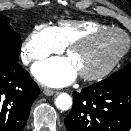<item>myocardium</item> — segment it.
<instances>
[{
  "label": "myocardium",
  "instance_id": "1",
  "mask_svg": "<svg viewBox=\"0 0 131 131\" xmlns=\"http://www.w3.org/2000/svg\"><path fill=\"white\" fill-rule=\"evenodd\" d=\"M105 34L122 35L126 40L125 46L116 56H114L107 64H105L100 69L93 72H81L80 76L84 80H87V81L99 80L105 77L106 75H108L118 65V63L123 59V57L128 52L131 45L130 37L128 36L126 32H124L123 30L119 28L108 27V28L99 29V30L90 32L76 39L75 41H73L72 43L68 45V51L72 53L73 51L77 49L87 46L89 43L93 42L94 40H96L97 38Z\"/></svg>",
  "mask_w": 131,
  "mask_h": 131
}]
</instances>
